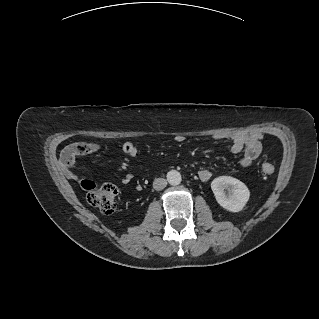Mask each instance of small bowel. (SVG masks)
Segmentation results:
<instances>
[{
  "label": "small bowel",
  "instance_id": "small-bowel-1",
  "mask_svg": "<svg viewBox=\"0 0 319 319\" xmlns=\"http://www.w3.org/2000/svg\"><path fill=\"white\" fill-rule=\"evenodd\" d=\"M218 138L229 142L230 149L233 153H238L244 149V154L239 161V165L242 168L249 167L260 153L261 135L259 134L230 133L221 135ZM122 149L124 153L129 156H135L137 153L136 147L128 141L123 143ZM211 177L212 173L208 170H200L198 172V178L203 182L210 180ZM130 179L131 177L127 176L123 180V183H128Z\"/></svg>",
  "mask_w": 319,
  "mask_h": 319
}]
</instances>
